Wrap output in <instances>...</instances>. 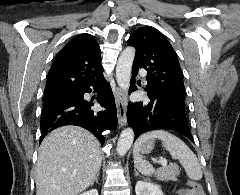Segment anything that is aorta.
I'll return each instance as SVG.
<instances>
[{
    "mask_svg": "<svg viewBox=\"0 0 240 195\" xmlns=\"http://www.w3.org/2000/svg\"><path fill=\"white\" fill-rule=\"evenodd\" d=\"M136 50L129 46L125 48L122 54H120L116 66V78L117 84L121 90L125 92L130 86V76L132 70L133 60L135 58ZM134 139V131L132 127H126L123 129L118 141H117V153L119 155H125L128 149H130Z\"/></svg>",
    "mask_w": 240,
    "mask_h": 195,
    "instance_id": "aorta-1",
    "label": "aorta"
}]
</instances>
